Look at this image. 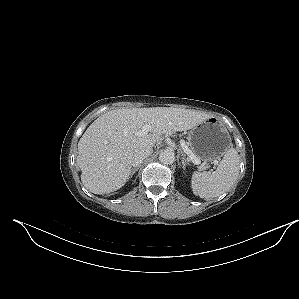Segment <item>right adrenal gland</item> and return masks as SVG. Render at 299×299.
Listing matches in <instances>:
<instances>
[{
    "mask_svg": "<svg viewBox=\"0 0 299 299\" xmlns=\"http://www.w3.org/2000/svg\"><path fill=\"white\" fill-rule=\"evenodd\" d=\"M139 167H140V166H137V167L132 168V170H131V174H130V178H132V176L135 174V172L138 171Z\"/></svg>",
    "mask_w": 299,
    "mask_h": 299,
    "instance_id": "right-adrenal-gland-1",
    "label": "right adrenal gland"
}]
</instances>
